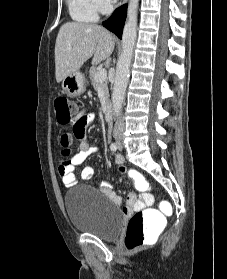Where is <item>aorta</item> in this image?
Here are the masks:
<instances>
[{"label":"aorta","instance_id":"obj_1","mask_svg":"<svg viewBox=\"0 0 227 279\" xmlns=\"http://www.w3.org/2000/svg\"><path fill=\"white\" fill-rule=\"evenodd\" d=\"M139 0H129L127 20L122 35V51L116 66L112 93L113 113L119 117L128 84L130 65L137 38V10Z\"/></svg>","mask_w":227,"mask_h":279}]
</instances>
